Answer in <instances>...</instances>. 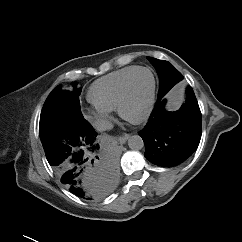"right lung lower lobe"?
<instances>
[{"instance_id": "98d812e1", "label": "right lung lower lobe", "mask_w": 242, "mask_h": 242, "mask_svg": "<svg viewBox=\"0 0 242 242\" xmlns=\"http://www.w3.org/2000/svg\"><path fill=\"white\" fill-rule=\"evenodd\" d=\"M97 133L92 126L52 141L46 158L58 178L71 193L84 199H101L116 184V169L98 155Z\"/></svg>"}]
</instances>
